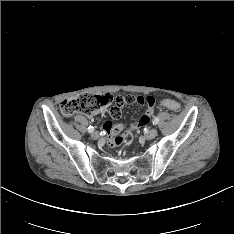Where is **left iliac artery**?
Listing matches in <instances>:
<instances>
[{"instance_id":"1","label":"left iliac artery","mask_w":234,"mask_h":234,"mask_svg":"<svg viewBox=\"0 0 234 234\" xmlns=\"http://www.w3.org/2000/svg\"><path fill=\"white\" fill-rule=\"evenodd\" d=\"M158 122H159V119H158V117H155V118H154V120H153V125H156V124H158Z\"/></svg>"}]
</instances>
